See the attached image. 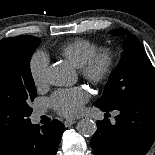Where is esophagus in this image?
<instances>
[{
    "label": "esophagus",
    "instance_id": "34e87169",
    "mask_svg": "<svg viewBox=\"0 0 155 155\" xmlns=\"http://www.w3.org/2000/svg\"><path fill=\"white\" fill-rule=\"evenodd\" d=\"M76 123V120L75 119H67L64 121V125L66 127H70L71 125L75 124Z\"/></svg>",
    "mask_w": 155,
    "mask_h": 155
}]
</instances>
